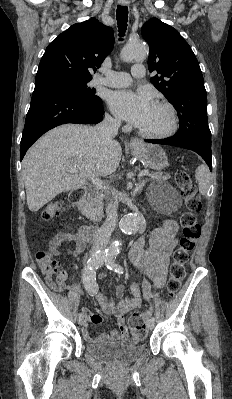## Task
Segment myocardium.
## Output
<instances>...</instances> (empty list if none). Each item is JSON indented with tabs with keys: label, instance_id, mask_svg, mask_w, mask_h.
<instances>
[{
	"label": "myocardium",
	"instance_id": "myocardium-1",
	"mask_svg": "<svg viewBox=\"0 0 232 399\" xmlns=\"http://www.w3.org/2000/svg\"><path fill=\"white\" fill-rule=\"evenodd\" d=\"M155 104L165 107L169 111V114L171 117V123H170L169 128L166 131L159 133V134H146L137 129L136 130L137 135L145 140L160 141V140L167 139V138L173 136L177 132L178 127H179L178 112L172 104H170L166 101H155Z\"/></svg>",
	"mask_w": 232,
	"mask_h": 399
}]
</instances>
